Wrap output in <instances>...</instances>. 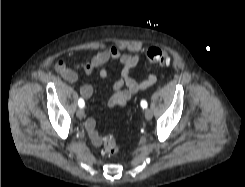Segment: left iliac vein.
<instances>
[{
    "instance_id": "obj_1",
    "label": "left iliac vein",
    "mask_w": 245,
    "mask_h": 187,
    "mask_svg": "<svg viewBox=\"0 0 245 187\" xmlns=\"http://www.w3.org/2000/svg\"><path fill=\"white\" fill-rule=\"evenodd\" d=\"M144 115L147 120H150L153 116L152 110L150 108H145Z\"/></svg>"
}]
</instances>
